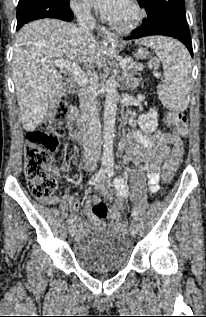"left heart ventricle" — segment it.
<instances>
[{
  "instance_id": "obj_1",
  "label": "left heart ventricle",
  "mask_w": 206,
  "mask_h": 317,
  "mask_svg": "<svg viewBox=\"0 0 206 317\" xmlns=\"http://www.w3.org/2000/svg\"><path fill=\"white\" fill-rule=\"evenodd\" d=\"M133 16V11L126 0H122L113 14L112 20L120 23L129 21Z\"/></svg>"
}]
</instances>
